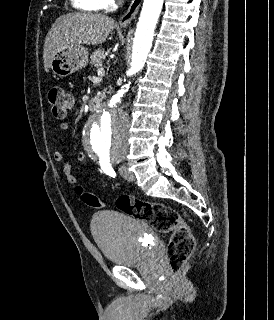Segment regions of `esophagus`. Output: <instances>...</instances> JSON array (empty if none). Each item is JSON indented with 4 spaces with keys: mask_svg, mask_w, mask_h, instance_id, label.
<instances>
[{
    "mask_svg": "<svg viewBox=\"0 0 274 320\" xmlns=\"http://www.w3.org/2000/svg\"><path fill=\"white\" fill-rule=\"evenodd\" d=\"M143 0H132L130 6L119 20V25L126 26L134 20Z\"/></svg>",
    "mask_w": 274,
    "mask_h": 320,
    "instance_id": "obj_1",
    "label": "esophagus"
}]
</instances>
